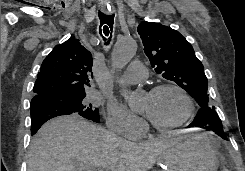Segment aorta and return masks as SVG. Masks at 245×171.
I'll return each instance as SVG.
<instances>
[{
    "label": "aorta",
    "mask_w": 245,
    "mask_h": 171,
    "mask_svg": "<svg viewBox=\"0 0 245 171\" xmlns=\"http://www.w3.org/2000/svg\"><path fill=\"white\" fill-rule=\"evenodd\" d=\"M137 51V43L131 37H122L117 40L111 53V64L116 70H122L134 57ZM122 96L128 102L131 109H137L141 103L142 95L137 91L123 89Z\"/></svg>",
    "instance_id": "1"
}]
</instances>
